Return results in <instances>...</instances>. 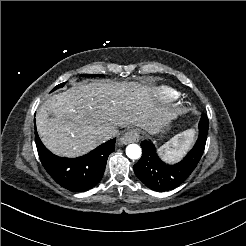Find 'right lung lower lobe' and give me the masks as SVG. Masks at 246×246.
Masks as SVG:
<instances>
[{
	"mask_svg": "<svg viewBox=\"0 0 246 246\" xmlns=\"http://www.w3.org/2000/svg\"><path fill=\"white\" fill-rule=\"evenodd\" d=\"M35 141L42 165L62 187L83 192L100 182L109 154L115 150V139L103 143L79 158H62L52 154L41 142L37 132Z\"/></svg>",
	"mask_w": 246,
	"mask_h": 246,
	"instance_id": "98d812e1",
	"label": "right lung lower lobe"
}]
</instances>
